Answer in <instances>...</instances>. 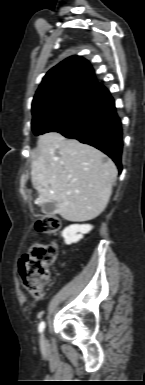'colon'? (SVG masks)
I'll return each instance as SVG.
<instances>
[{
  "instance_id": "obj_1",
  "label": "colon",
  "mask_w": 145,
  "mask_h": 385,
  "mask_svg": "<svg viewBox=\"0 0 145 385\" xmlns=\"http://www.w3.org/2000/svg\"><path fill=\"white\" fill-rule=\"evenodd\" d=\"M61 219L56 215H44L35 223L37 234L52 235L60 231ZM55 243L34 244L21 257L19 271L25 289L35 298L44 294L45 285L50 279V269L57 258Z\"/></svg>"
}]
</instances>
